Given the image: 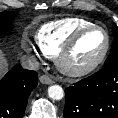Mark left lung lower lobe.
<instances>
[{
    "instance_id": "0a47b994",
    "label": "left lung lower lobe",
    "mask_w": 118,
    "mask_h": 118,
    "mask_svg": "<svg viewBox=\"0 0 118 118\" xmlns=\"http://www.w3.org/2000/svg\"><path fill=\"white\" fill-rule=\"evenodd\" d=\"M64 118H118V63L67 88Z\"/></svg>"
}]
</instances>
